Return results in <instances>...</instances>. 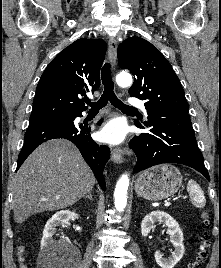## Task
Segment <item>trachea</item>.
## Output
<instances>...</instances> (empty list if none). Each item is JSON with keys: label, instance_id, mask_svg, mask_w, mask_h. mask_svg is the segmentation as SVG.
I'll return each instance as SVG.
<instances>
[{"label": "trachea", "instance_id": "trachea-1", "mask_svg": "<svg viewBox=\"0 0 221 268\" xmlns=\"http://www.w3.org/2000/svg\"><path fill=\"white\" fill-rule=\"evenodd\" d=\"M111 65L105 63L101 70V80L104 85V91L101 98L97 102H91L90 100H85V102L91 107L92 110H99L102 107L106 106L108 101L120 109L121 111L133 112L136 111V108L125 105L121 100L117 98L114 93V84L111 77Z\"/></svg>", "mask_w": 221, "mask_h": 268}]
</instances>
